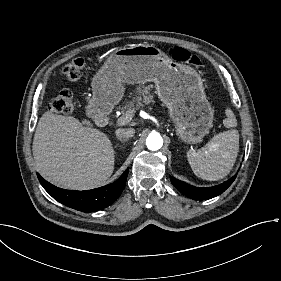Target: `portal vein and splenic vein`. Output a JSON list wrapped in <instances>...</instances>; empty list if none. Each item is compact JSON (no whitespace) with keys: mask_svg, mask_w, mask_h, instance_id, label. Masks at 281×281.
I'll list each match as a JSON object with an SVG mask.
<instances>
[{"mask_svg":"<svg viewBox=\"0 0 281 281\" xmlns=\"http://www.w3.org/2000/svg\"><path fill=\"white\" fill-rule=\"evenodd\" d=\"M128 121H129V118H128L127 116H124L123 118L118 119V120L114 123V126H115L116 128H119V127H121L122 125L126 124Z\"/></svg>","mask_w":281,"mask_h":281,"instance_id":"1","label":"portal vein and splenic vein"}]
</instances>
